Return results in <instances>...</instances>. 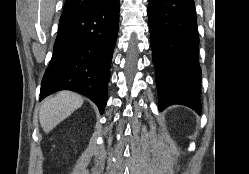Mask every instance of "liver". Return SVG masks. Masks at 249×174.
Listing matches in <instances>:
<instances>
[{
    "label": "liver",
    "instance_id": "obj_1",
    "mask_svg": "<svg viewBox=\"0 0 249 174\" xmlns=\"http://www.w3.org/2000/svg\"><path fill=\"white\" fill-rule=\"evenodd\" d=\"M82 104V96L70 91H61L55 96L45 99L39 112V120L43 131L49 133L76 109L80 108Z\"/></svg>",
    "mask_w": 249,
    "mask_h": 174
}]
</instances>
